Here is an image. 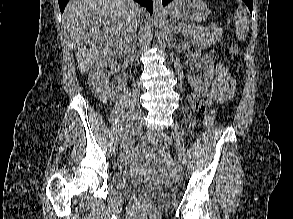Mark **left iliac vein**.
Here are the masks:
<instances>
[{
    "instance_id": "1",
    "label": "left iliac vein",
    "mask_w": 293,
    "mask_h": 219,
    "mask_svg": "<svg viewBox=\"0 0 293 219\" xmlns=\"http://www.w3.org/2000/svg\"><path fill=\"white\" fill-rule=\"evenodd\" d=\"M172 133L175 138L176 148L178 151L179 161L181 165L186 164V152L184 147L183 132L177 122L172 125Z\"/></svg>"
}]
</instances>
